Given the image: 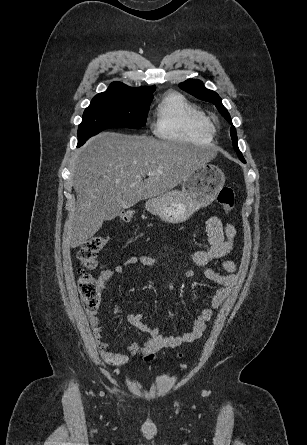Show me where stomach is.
Returning a JSON list of instances; mask_svg holds the SVG:
<instances>
[{"label":"stomach","instance_id":"obj_1","mask_svg":"<svg viewBox=\"0 0 307 445\" xmlns=\"http://www.w3.org/2000/svg\"><path fill=\"white\" fill-rule=\"evenodd\" d=\"M225 174L215 164L203 162L196 166L182 182V190H169L160 196L148 198L145 208L157 214L164 223H185L196 210L215 200L224 186Z\"/></svg>","mask_w":307,"mask_h":445}]
</instances>
